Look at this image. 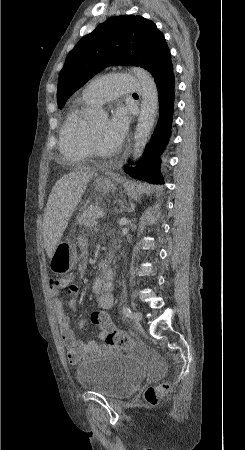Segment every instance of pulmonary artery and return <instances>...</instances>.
Wrapping results in <instances>:
<instances>
[{"mask_svg":"<svg viewBox=\"0 0 245 450\" xmlns=\"http://www.w3.org/2000/svg\"><path fill=\"white\" fill-rule=\"evenodd\" d=\"M141 81L130 74L105 75L86 85L83 95L94 104H102L121 95H131L141 91Z\"/></svg>","mask_w":245,"mask_h":450,"instance_id":"pulmonary-artery-1","label":"pulmonary artery"}]
</instances>
